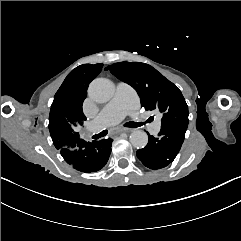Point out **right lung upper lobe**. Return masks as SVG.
Here are the masks:
<instances>
[{"label": "right lung upper lobe", "instance_id": "right-lung-upper-lobe-1", "mask_svg": "<svg viewBox=\"0 0 241 241\" xmlns=\"http://www.w3.org/2000/svg\"><path fill=\"white\" fill-rule=\"evenodd\" d=\"M87 88L74 87L65 79L54 96L49 114V131L57 149L80 139L76 127L83 125L86 120L82 104Z\"/></svg>", "mask_w": 241, "mask_h": 241}]
</instances>
